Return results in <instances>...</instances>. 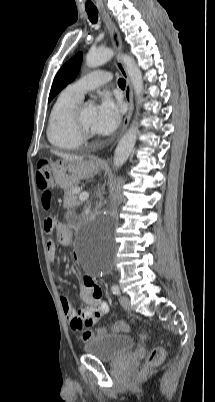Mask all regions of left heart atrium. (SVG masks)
Wrapping results in <instances>:
<instances>
[{
	"label": "left heart atrium",
	"instance_id": "obj_1",
	"mask_svg": "<svg viewBox=\"0 0 215 402\" xmlns=\"http://www.w3.org/2000/svg\"><path fill=\"white\" fill-rule=\"evenodd\" d=\"M121 109L108 95H104L99 105L95 108L92 129L99 134H109L119 125Z\"/></svg>",
	"mask_w": 215,
	"mask_h": 402
}]
</instances>
